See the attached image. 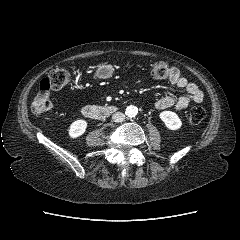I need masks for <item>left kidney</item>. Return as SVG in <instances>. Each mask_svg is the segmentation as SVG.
<instances>
[{"label":"left kidney","mask_w":240,"mask_h":240,"mask_svg":"<svg viewBox=\"0 0 240 240\" xmlns=\"http://www.w3.org/2000/svg\"><path fill=\"white\" fill-rule=\"evenodd\" d=\"M160 119L164 122L165 126L170 130H177L182 125V122L178 115L172 111L161 112Z\"/></svg>","instance_id":"1"}]
</instances>
